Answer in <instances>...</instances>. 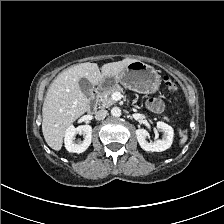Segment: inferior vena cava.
<instances>
[{"mask_svg": "<svg viewBox=\"0 0 224 224\" xmlns=\"http://www.w3.org/2000/svg\"><path fill=\"white\" fill-rule=\"evenodd\" d=\"M108 114V111L105 110V109H101V110H98L96 113H95V119L96 120H101V119H104Z\"/></svg>", "mask_w": 224, "mask_h": 224, "instance_id": "602c4592", "label": "inferior vena cava"}]
</instances>
